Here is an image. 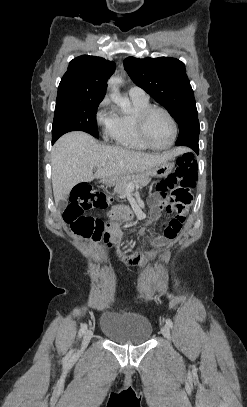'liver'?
<instances>
[{
	"instance_id": "liver-1",
	"label": "liver",
	"mask_w": 247,
	"mask_h": 407,
	"mask_svg": "<svg viewBox=\"0 0 247 407\" xmlns=\"http://www.w3.org/2000/svg\"><path fill=\"white\" fill-rule=\"evenodd\" d=\"M184 151L176 148L163 153L147 154L99 144L84 132L67 133L57 140L51 154L55 202L65 199L70 190L80 182L150 170ZM93 168H97L94 175Z\"/></svg>"
}]
</instances>
